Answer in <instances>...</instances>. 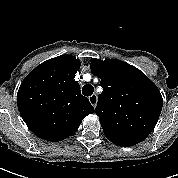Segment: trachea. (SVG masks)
<instances>
[{"instance_id": "obj_1", "label": "trachea", "mask_w": 178, "mask_h": 178, "mask_svg": "<svg viewBox=\"0 0 178 178\" xmlns=\"http://www.w3.org/2000/svg\"><path fill=\"white\" fill-rule=\"evenodd\" d=\"M94 92V87L90 84H86L82 88V94L84 96H91Z\"/></svg>"}]
</instances>
